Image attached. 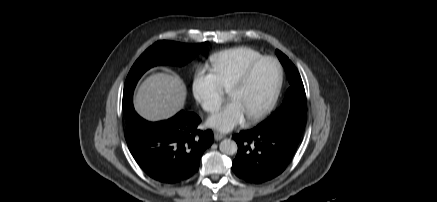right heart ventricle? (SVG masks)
I'll list each match as a JSON object with an SVG mask.
<instances>
[{"mask_svg": "<svg viewBox=\"0 0 437 202\" xmlns=\"http://www.w3.org/2000/svg\"><path fill=\"white\" fill-rule=\"evenodd\" d=\"M262 56L259 51L250 47H233L210 56L211 70L222 87L229 90L245 68Z\"/></svg>", "mask_w": 437, "mask_h": 202, "instance_id": "e07e8e85", "label": "right heart ventricle"}]
</instances>
